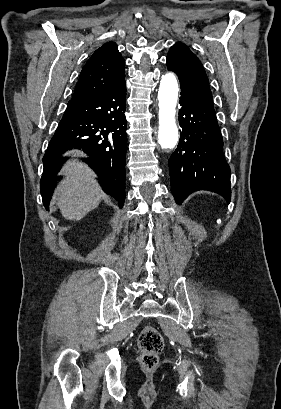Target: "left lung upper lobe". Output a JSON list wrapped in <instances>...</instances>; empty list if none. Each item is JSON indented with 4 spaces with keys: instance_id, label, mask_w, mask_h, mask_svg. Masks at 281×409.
Instances as JSON below:
<instances>
[{
    "instance_id": "1",
    "label": "left lung upper lobe",
    "mask_w": 281,
    "mask_h": 409,
    "mask_svg": "<svg viewBox=\"0 0 281 409\" xmlns=\"http://www.w3.org/2000/svg\"><path fill=\"white\" fill-rule=\"evenodd\" d=\"M167 68L178 75L182 89L213 104L208 78L202 63L185 44L178 42L170 48L167 55Z\"/></svg>"
}]
</instances>
